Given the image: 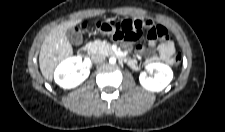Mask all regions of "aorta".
I'll list each match as a JSON object with an SVG mask.
<instances>
[{"instance_id":"1","label":"aorta","mask_w":225,"mask_h":132,"mask_svg":"<svg viewBox=\"0 0 225 132\" xmlns=\"http://www.w3.org/2000/svg\"><path fill=\"white\" fill-rule=\"evenodd\" d=\"M109 62H110L111 64H115V63H116V59H115L114 57H112V58H110Z\"/></svg>"}]
</instances>
